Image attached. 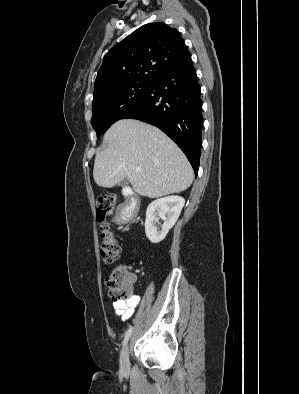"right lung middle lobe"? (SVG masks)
Returning a JSON list of instances; mask_svg holds the SVG:
<instances>
[{
    "mask_svg": "<svg viewBox=\"0 0 299 394\" xmlns=\"http://www.w3.org/2000/svg\"><path fill=\"white\" fill-rule=\"evenodd\" d=\"M149 82L128 83L93 97L91 124L97 137L134 108L150 87Z\"/></svg>",
    "mask_w": 299,
    "mask_h": 394,
    "instance_id": "1",
    "label": "right lung middle lobe"
}]
</instances>
